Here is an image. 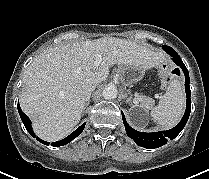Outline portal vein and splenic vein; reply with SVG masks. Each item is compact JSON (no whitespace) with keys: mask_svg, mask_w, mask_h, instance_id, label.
Masks as SVG:
<instances>
[{"mask_svg":"<svg viewBox=\"0 0 209 179\" xmlns=\"http://www.w3.org/2000/svg\"><path fill=\"white\" fill-rule=\"evenodd\" d=\"M102 62V56L101 55H97L96 60L94 62V66L98 67Z\"/></svg>","mask_w":209,"mask_h":179,"instance_id":"1","label":"portal vein and splenic vein"}]
</instances>
